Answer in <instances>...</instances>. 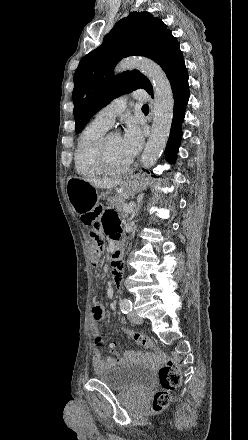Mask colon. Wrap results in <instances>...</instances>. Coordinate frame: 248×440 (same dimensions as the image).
<instances>
[{
  "label": "colon",
  "instance_id": "5ec220e1",
  "mask_svg": "<svg viewBox=\"0 0 248 440\" xmlns=\"http://www.w3.org/2000/svg\"><path fill=\"white\" fill-rule=\"evenodd\" d=\"M103 215L102 207L93 205L82 216L84 224L91 227L89 240L91 243V259L94 264L98 262L104 245L102 235L104 230ZM121 332L144 348L159 349L158 345L144 333L129 329H122ZM97 341L102 347L111 351L115 350L114 344H107L103 342L101 338ZM158 378L161 390L157 391L154 395L153 409L155 411H162L167 408L170 403L171 392L177 389L181 384V371L178 364L171 358L167 359L165 364L159 368Z\"/></svg>",
  "mask_w": 248,
  "mask_h": 440
}]
</instances>
